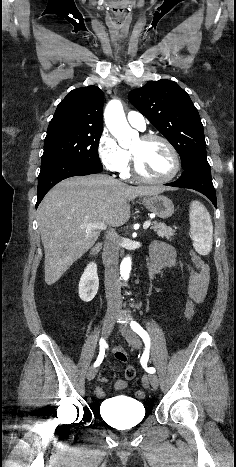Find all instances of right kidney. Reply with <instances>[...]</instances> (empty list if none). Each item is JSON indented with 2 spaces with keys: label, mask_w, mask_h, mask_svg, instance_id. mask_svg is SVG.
Returning a JSON list of instances; mask_svg holds the SVG:
<instances>
[{
  "label": "right kidney",
  "mask_w": 236,
  "mask_h": 467,
  "mask_svg": "<svg viewBox=\"0 0 236 467\" xmlns=\"http://www.w3.org/2000/svg\"><path fill=\"white\" fill-rule=\"evenodd\" d=\"M99 287L97 265L90 263L84 270L79 282V297L84 302H90L96 296Z\"/></svg>",
  "instance_id": "right-kidney-1"
}]
</instances>
